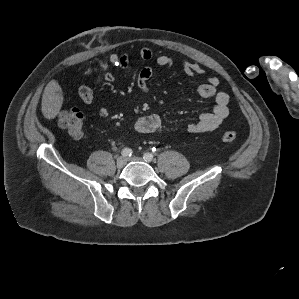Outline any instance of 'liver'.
Listing matches in <instances>:
<instances>
[{"label":"liver","mask_w":299,"mask_h":299,"mask_svg":"<svg viewBox=\"0 0 299 299\" xmlns=\"http://www.w3.org/2000/svg\"><path fill=\"white\" fill-rule=\"evenodd\" d=\"M63 103L62 88L56 80H51L46 85L42 95V114L46 119H54Z\"/></svg>","instance_id":"liver-1"}]
</instances>
